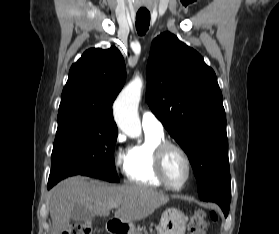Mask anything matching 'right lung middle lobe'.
I'll return each mask as SVG.
<instances>
[{
	"instance_id": "right-lung-middle-lobe-1",
	"label": "right lung middle lobe",
	"mask_w": 279,
	"mask_h": 234,
	"mask_svg": "<svg viewBox=\"0 0 279 234\" xmlns=\"http://www.w3.org/2000/svg\"><path fill=\"white\" fill-rule=\"evenodd\" d=\"M117 135L116 128L102 125L92 117L58 116L48 188L78 174L118 182L114 164Z\"/></svg>"
}]
</instances>
